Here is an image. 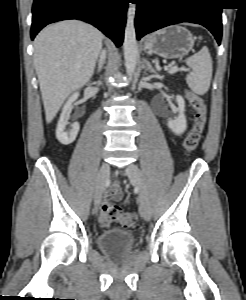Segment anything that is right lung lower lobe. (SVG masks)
<instances>
[{
  "label": "right lung lower lobe",
  "instance_id": "right-lung-lower-lobe-1",
  "mask_svg": "<svg viewBox=\"0 0 246 300\" xmlns=\"http://www.w3.org/2000/svg\"><path fill=\"white\" fill-rule=\"evenodd\" d=\"M127 0H34L31 39L46 25L78 19L88 22L116 46H121L126 23Z\"/></svg>",
  "mask_w": 246,
  "mask_h": 300
}]
</instances>
